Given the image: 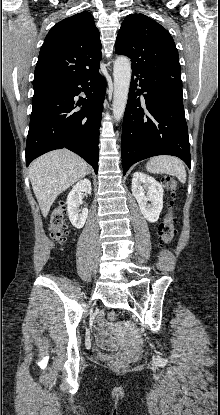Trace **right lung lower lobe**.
Segmentation results:
<instances>
[{
	"label": "right lung lower lobe",
	"mask_w": 220,
	"mask_h": 415,
	"mask_svg": "<svg viewBox=\"0 0 220 415\" xmlns=\"http://www.w3.org/2000/svg\"><path fill=\"white\" fill-rule=\"evenodd\" d=\"M105 91L106 80L97 70L65 83L59 93L33 102L26 165L48 151L67 148L92 165L97 174ZM81 92L86 99L76 102L74 97Z\"/></svg>",
	"instance_id": "right-lung-lower-lobe-1"
}]
</instances>
